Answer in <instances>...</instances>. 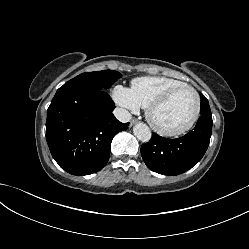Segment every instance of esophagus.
<instances>
[{"label":"esophagus","mask_w":249,"mask_h":249,"mask_svg":"<svg viewBox=\"0 0 249 249\" xmlns=\"http://www.w3.org/2000/svg\"><path fill=\"white\" fill-rule=\"evenodd\" d=\"M137 123V119H132L131 121H130V126H133V125H135Z\"/></svg>","instance_id":"esophagus-1"}]
</instances>
